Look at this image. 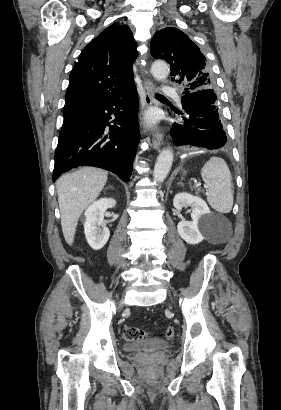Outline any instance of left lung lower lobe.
Instances as JSON below:
<instances>
[{
  "label": "left lung lower lobe",
  "mask_w": 281,
  "mask_h": 410,
  "mask_svg": "<svg viewBox=\"0 0 281 410\" xmlns=\"http://www.w3.org/2000/svg\"><path fill=\"white\" fill-rule=\"evenodd\" d=\"M217 95L213 89L197 90L182 95V114L174 110L182 123H174L171 135L177 146L192 145L218 149L225 145L226 134L220 120Z\"/></svg>",
  "instance_id": "obj_1"
}]
</instances>
